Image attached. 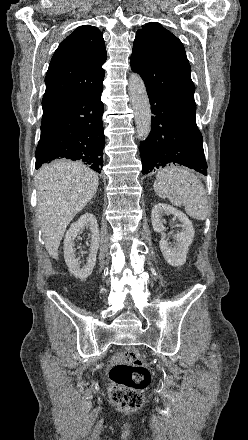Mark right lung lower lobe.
Returning a JSON list of instances; mask_svg holds the SVG:
<instances>
[{
    "label": "right lung lower lobe",
    "instance_id": "obj_1",
    "mask_svg": "<svg viewBox=\"0 0 248 440\" xmlns=\"http://www.w3.org/2000/svg\"><path fill=\"white\" fill-rule=\"evenodd\" d=\"M102 91L103 87L43 108L36 169L54 159L68 158L101 172L105 144Z\"/></svg>",
    "mask_w": 248,
    "mask_h": 440
}]
</instances>
